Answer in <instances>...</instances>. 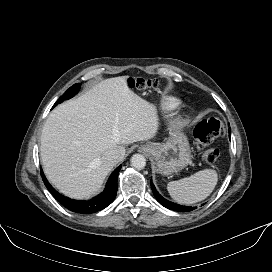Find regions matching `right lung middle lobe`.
Returning <instances> with one entry per match:
<instances>
[{
  "instance_id": "obj_1",
  "label": "right lung middle lobe",
  "mask_w": 272,
  "mask_h": 272,
  "mask_svg": "<svg viewBox=\"0 0 272 272\" xmlns=\"http://www.w3.org/2000/svg\"><path fill=\"white\" fill-rule=\"evenodd\" d=\"M80 86H81V84H74L72 87H70L69 89H67V91L63 94L62 97H60L57 100V102L54 104L53 107H55L57 104H60L64 100H67V99H70L71 97H73L79 91Z\"/></svg>"
}]
</instances>
